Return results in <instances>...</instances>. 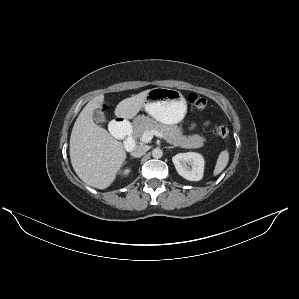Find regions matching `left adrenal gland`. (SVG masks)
I'll return each instance as SVG.
<instances>
[{
  "label": "left adrenal gland",
  "instance_id": "left-adrenal-gland-1",
  "mask_svg": "<svg viewBox=\"0 0 299 299\" xmlns=\"http://www.w3.org/2000/svg\"><path fill=\"white\" fill-rule=\"evenodd\" d=\"M171 148H174V146H169V147H167V149H171Z\"/></svg>",
  "mask_w": 299,
  "mask_h": 299
}]
</instances>
